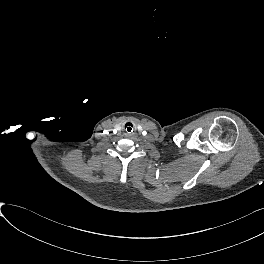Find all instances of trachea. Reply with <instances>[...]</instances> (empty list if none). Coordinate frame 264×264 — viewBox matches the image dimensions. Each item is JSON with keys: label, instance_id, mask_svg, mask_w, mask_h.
I'll return each mask as SVG.
<instances>
[{"label": "trachea", "instance_id": "1", "mask_svg": "<svg viewBox=\"0 0 264 264\" xmlns=\"http://www.w3.org/2000/svg\"><path fill=\"white\" fill-rule=\"evenodd\" d=\"M124 131L127 133V134H131L134 132V125L133 123L131 122H127L124 127H123Z\"/></svg>", "mask_w": 264, "mask_h": 264}]
</instances>
